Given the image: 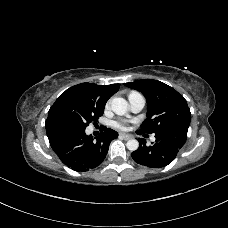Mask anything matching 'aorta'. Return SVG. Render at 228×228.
<instances>
[{"instance_id": "1", "label": "aorta", "mask_w": 228, "mask_h": 228, "mask_svg": "<svg viewBox=\"0 0 228 228\" xmlns=\"http://www.w3.org/2000/svg\"><path fill=\"white\" fill-rule=\"evenodd\" d=\"M111 109L117 115H124L128 111V102L120 97L113 98ZM126 146L130 151H136L139 147V142L136 139H131L127 141Z\"/></svg>"}]
</instances>
